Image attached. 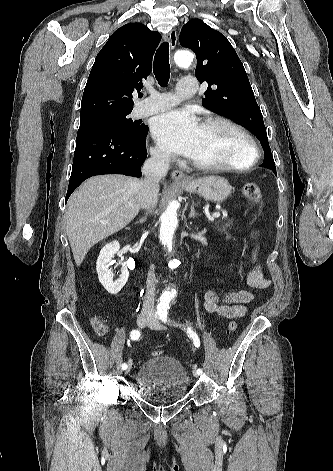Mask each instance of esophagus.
Masks as SVG:
<instances>
[{
  "label": "esophagus",
  "instance_id": "esophagus-1",
  "mask_svg": "<svg viewBox=\"0 0 333 471\" xmlns=\"http://www.w3.org/2000/svg\"><path fill=\"white\" fill-rule=\"evenodd\" d=\"M169 47L171 50H174L177 44V32L175 29H172L168 34ZM171 177L176 182L186 183L189 182V178L180 170H174L171 172Z\"/></svg>",
  "mask_w": 333,
  "mask_h": 471
}]
</instances>
